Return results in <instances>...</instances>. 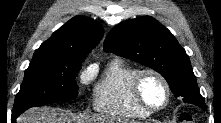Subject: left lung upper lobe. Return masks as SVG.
<instances>
[{
	"label": "left lung upper lobe",
	"mask_w": 221,
	"mask_h": 123,
	"mask_svg": "<svg viewBox=\"0 0 221 123\" xmlns=\"http://www.w3.org/2000/svg\"><path fill=\"white\" fill-rule=\"evenodd\" d=\"M104 51L129 58L159 72L176 97L205 108L190 59L174 35L156 19L141 16L115 26Z\"/></svg>",
	"instance_id": "1"
}]
</instances>
